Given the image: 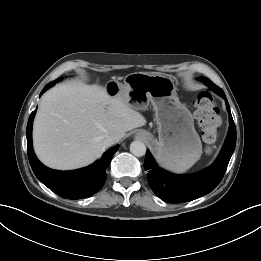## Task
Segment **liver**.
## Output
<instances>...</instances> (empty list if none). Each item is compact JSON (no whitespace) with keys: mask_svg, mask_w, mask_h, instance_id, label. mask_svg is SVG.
Returning <instances> with one entry per match:
<instances>
[{"mask_svg":"<svg viewBox=\"0 0 261 261\" xmlns=\"http://www.w3.org/2000/svg\"><path fill=\"white\" fill-rule=\"evenodd\" d=\"M145 124L144 116L106 89L69 82L42 97L33 125V146L46 166L71 170L100 157L107 136L118 142L127 131Z\"/></svg>","mask_w":261,"mask_h":261,"instance_id":"liver-1","label":"liver"}]
</instances>
